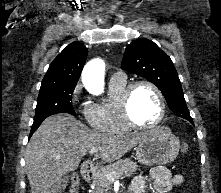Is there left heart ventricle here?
<instances>
[{
  "label": "left heart ventricle",
  "mask_w": 221,
  "mask_h": 193,
  "mask_svg": "<svg viewBox=\"0 0 221 193\" xmlns=\"http://www.w3.org/2000/svg\"><path fill=\"white\" fill-rule=\"evenodd\" d=\"M160 112L156 93L148 86H138L132 95L131 113L136 122L144 125L153 123Z\"/></svg>",
  "instance_id": "b2bd125f"
}]
</instances>
